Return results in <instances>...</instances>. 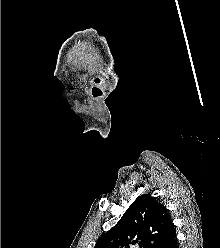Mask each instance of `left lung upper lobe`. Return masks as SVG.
I'll return each mask as SVG.
<instances>
[{"label":"left lung upper lobe","instance_id":"1","mask_svg":"<svg viewBox=\"0 0 220 248\" xmlns=\"http://www.w3.org/2000/svg\"><path fill=\"white\" fill-rule=\"evenodd\" d=\"M174 224L165 206L150 195H141L119 222L104 233L95 248H161Z\"/></svg>","mask_w":220,"mask_h":248}]
</instances>
